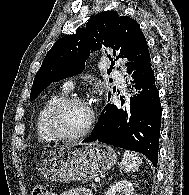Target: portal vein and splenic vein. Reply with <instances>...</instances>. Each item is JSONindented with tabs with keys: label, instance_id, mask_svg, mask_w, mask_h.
I'll return each mask as SVG.
<instances>
[{
	"label": "portal vein and splenic vein",
	"instance_id": "18ae733b",
	"mask_svg": "<svg viewBox=\"0 0 189 195\" xmlns=\"http://www.w3.org/2000/svg\"><path fill=\"white\" fill-rule=\"evenodd\" d=\"M95 182H100V178H96L95 179Z\"/></svg>",
	"mask_w": 189,
	"mask_h": 195
}]
</instances>
